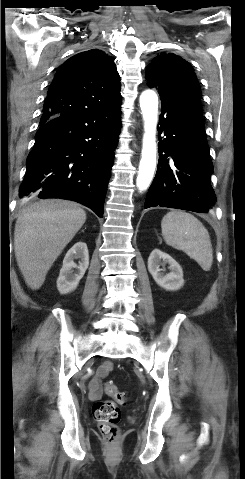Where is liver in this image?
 <instances>
[{"label": "liver", "mask_w": 245, "mask_h": 479, "mask_svg": "<svg viewBox=\"0 0 245 479\" xmlns=\"http://www.w3.org/2000/svg\"><path fill=\"white\" fill-rule=\"evenodd\" d=\"M86 221L76 203L41 200L21 209L14 232V250L26 284L39 289L51 266Z\"/></svg>", "instance_id": "liver-1"}]
</instances>
